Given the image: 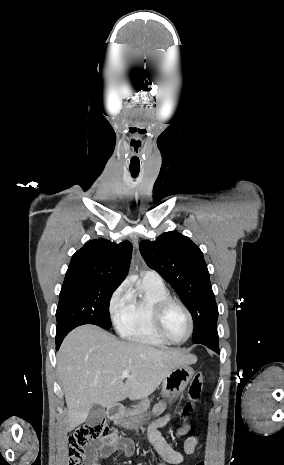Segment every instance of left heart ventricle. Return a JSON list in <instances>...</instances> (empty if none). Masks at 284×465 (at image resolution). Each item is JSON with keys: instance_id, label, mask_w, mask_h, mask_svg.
<instances>
[{"instance_id": "1", "label": "left heart ventricle", "mask_w": 284, "mask_h": 465, "mask_svg": "<svg viewBox=\"0 0 284 465\" xmlns=\"http://www.w3.org/2000/svg\"><path fill=\"white\" fill-rule=\"evenodd\" d=\"M164 331L173 341H181L187 336L189 320L182 308L174 306L168 311L164 320Z\"/></svg>"}]
</instances>
